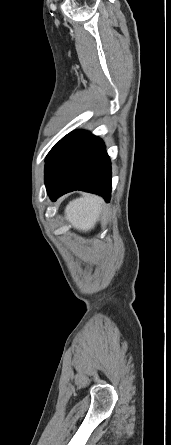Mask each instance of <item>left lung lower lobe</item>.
Masks as SVG:
<instances>
[{
    "instance_id": "left-lung-lower-lobe-1",
    "label": "left lung lower lobe",
    "mask_w": 171,
    "mask_h": 445,
    "mask_svg": "<svg viewBox=\"0 0 171 445\" xmlns=\"http://www.w3.org/2000/svg\"><path fill=\"white\" fill-rule=\"evenodd\" d=\"M45 185L53 201L67 192L83 190L108 202L111 164L103 141L85 131L62 138L46 158Z\"/></svg>"
}]
</instances>
